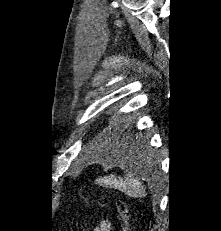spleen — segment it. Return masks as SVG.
<instances>
[{
	"instance_id": "spleen-1",
	"label": "spleen",
	"mask_w": 221,
	"mask_h": 231,
	"mask_svg": "<svg viewBox=\"0 0 221 231\" xmlns=\"http://www.w3.org/2000/svg\"><path fill=\"white\" fill-rule=\"evenodd\" d=\"M99 183H102L106 187L118 189L130 197L142 198L146 196L144 186H142L138 178H132L131 176L116 178L111 175L110 177L103 178Z\"/></svg>"
}]
</instances>
